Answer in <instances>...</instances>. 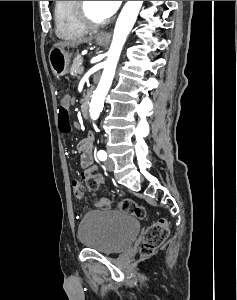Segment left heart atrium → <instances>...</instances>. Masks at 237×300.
Instances as JSON below:
<instances>
[{"label":"left heart atrium","instance_id":"39dd6f15","mask_svg":"<svg viewBox=\"0 0 237 300\" xmlns=\"http://www.w3.org/2000/svg\"><path fill=\"white\" fill-rule=\"evenodd\" d=\"M109 16L113 15L119 8L122 1H101Z\"/></svg>","mask_w":237,"mask_h":300}]
</instances>
